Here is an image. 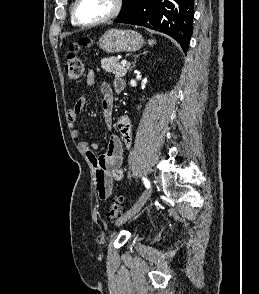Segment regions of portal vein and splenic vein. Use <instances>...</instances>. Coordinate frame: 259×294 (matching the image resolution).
<instances>
[{"mask_svg": "<svg viewBox=\"0 0 259 294\" xmlns=\"http://www.w3.org/2000/svg\"><path fill=\"white\" fill-rule=\"evenodd\" d=\"M121 65H122V66H126V65H127V61H126V60H122V61H121Z\"/></svg>", "mask_w": 259, "mask_h": 294, "instance_id": "obj_1", "label": "portal vein and splenic vein"}]
</instances>
